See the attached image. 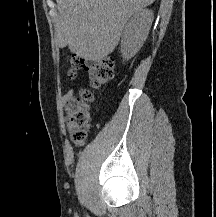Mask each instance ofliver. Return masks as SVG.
Returning <instances> with one entry per match:
<instances>
[{
    "label": "liver",
    "mask_w": 216,
    "mask_h": 217,
    "mask_svg": "<svg viewBox=\"0 0 216 217\" xmlns=\"http://www.w3.org/2000/svg\"><path fill=\"white\" fill-rule=\"evenodd\" d=\"M155 0H56L55 36L59 47L89 61L114 51L128 19Z\"/></svg>",
    "instance_id": "1"
}]
</instances>
